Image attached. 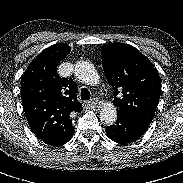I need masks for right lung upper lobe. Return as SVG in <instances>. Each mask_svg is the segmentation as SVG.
Wrapping results in <instances>:
<instances>
[{
    "mask_svg": "<svg viewBox=\"0 0 183 183\" xmlns=\"http://www.w3.org/2000/svg\"><path fill=\"white\" fill-rule=\"evenodd\" d=\"M70 50L64 43L45 49L21 77V99L27 121L44 142L72 137L71 115L82 110V104L76 99V83L57 73V65Z\"/></svg>",
    "mask_w": 183,
    "mask_h": 183,
    "instance_id": "1",
    "label": "right lung upper lobe"
}]
</instances>
